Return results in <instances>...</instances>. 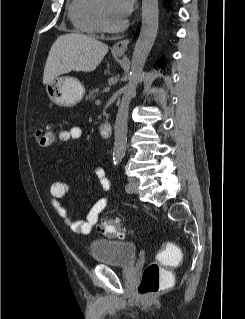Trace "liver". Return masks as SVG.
Returning <instances> with one entry per match:
<instances>
[{
    "label": "liver",
    "instance_id": "6515ba94",
    "mask_svg": "<svg viewBox=\"0 0 245 319\" xmlns=\"http://www.w3.org/2000/svg\"><path fill=\"white\" fill-rule=\"evenodd\" d=\"M108 52V45L81 34L66 33L53 43L45 64L43 84L71 71L91 72Z\"/></svg>",
    "mask_w": 245,
    "mask_h": 319
}]
</instances>
